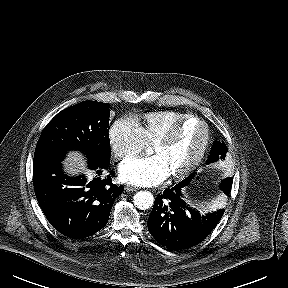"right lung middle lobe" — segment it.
<instances>
[{"label":"right lung middle lobe","instance_id":"obj_1","mask_svg":"<svg viewBox=\"0 0 288 288\" xmlns=\"http://www.w3.org/2000/svg\"><path fill=\"white\" fill-rule=\"evenodd\" d=\"M110 105L83 101L58 113L42 132L34 163L61 161L67 151L80 150L91 167L110 162Z\"/></svg>","mask_w":288,"mask_h":288}]
</instances>
